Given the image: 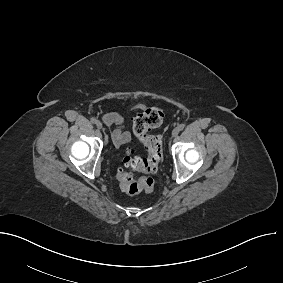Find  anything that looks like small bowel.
<instances>
[{
  "mask_svg": "<svg viewBox=\"0 0 283 283\" xmlns=\"http://www.w3.org/2000/svg\"><path fill=\"white\" fill-rule=\"evenodd\" d=\"M103 122L108 126H115L112 132V141L115 145H122L131 141V134L126 130V119L119 113L108 112L102 116Z\"/></svg>",
  "mask_w": 283,
  "mask_h": 283,
  "instance_id": "1",
  "label": "small bowel"
}]
</instances>
